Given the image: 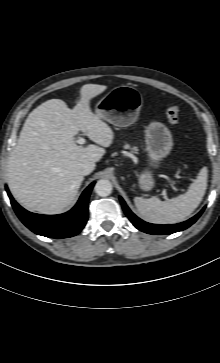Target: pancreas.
Wrapping results in <instances>:
<instances>
[{
  "label": "pancreas",
  "mask_w": 220,
  "mask_h": 363,
  "mask_svg": "<svg viewBox=\"0 0 220 363\" xmlns=\"http://www.w3.org/2000/svg\"><path fill=\"white\" fill-rule=\"evenodd\" d=\"M125 148H130L129 147V145H125ZM132 151L134 152V153H137V151H138V149L136 148V147H134V148H132Z\"/></svg>",
  "instance_id": "obj_1"
}]
</instances>
